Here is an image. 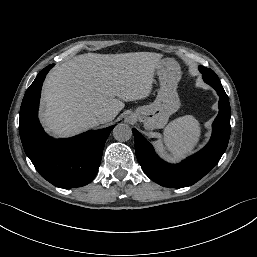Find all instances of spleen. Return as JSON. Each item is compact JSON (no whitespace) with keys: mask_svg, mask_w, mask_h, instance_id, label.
<instances>
[{"mask_svg":"<svg viewBox=\"0 0 257 257\" xmlns=\"http://www.w3.org/2000/svg\"><path fill=\"white\" fill-rule=\"evenodd\" d=\"M201 127L195 117L187 115L173 121L164 131L167 150L176 159L190 154L199 142Z\"/></svg>","mask_w":257,"mask_h":257,"instance_id":"obj_1","label":"spleen"}]
</instances>
